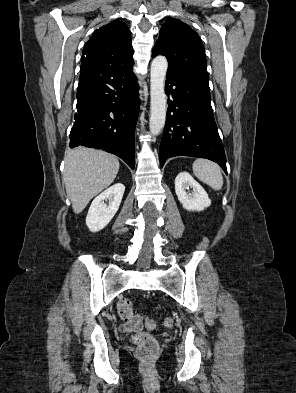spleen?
<instances>
[{
    "label": "spleen",
    "mask_w": 296,
    "mask_h": 393,
    "mask_svg": "<svg viewBox=\"0 0 296 393\" xmlns=\"http://www.w3.org/2000/svg\"><path fill=\"white\" fill-rule=\"evenodd\" d=\"M194 175L214 190H220L223 186V176L220 167L209 160L197 159L193 166Z\"/></svg>",
    "instance_id": "1"
}]
</instances>
